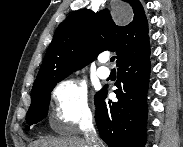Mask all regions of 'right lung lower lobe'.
<instances>
[{"instance_id": "right-lung-lower-lobe-1", "label": "right lung lower lobe", "mask_w": 183, "mask_h": 147, "mask_svg": "<svg viewBox=\"0 0 183 147\" xmlns=\"http://www.w3.org/2000/svg\"><path fill=\"white\" fill-rule=\"evenodd\" d=\"M150 50L121 61L114 91L117 102L106 99V88L95 95V119L109 147H144L146 95L150 77Z\"/></svg>"}]
</instances>
